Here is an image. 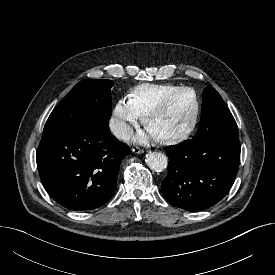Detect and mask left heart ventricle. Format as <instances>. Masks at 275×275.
Instances as JSON below:
<instances>
[{
	"label": "left heart ventricle",
	"mask_w": 275,
	"mask_h": 275,
	"mask_svg": "<svg viewBox=\"0 0 275 275\" xmlns=\"http://www.w3.org/2000/svg\"><path fill=\"white\" fill-rule=\"evenodd\" d=\"M194 110V98L189 92L174 97L168 106L148 125L154 138L176 135L188 125Z\"/></svg>",
	"instance_id": "b2bd125f"
}]
</instances>
